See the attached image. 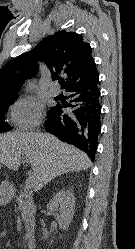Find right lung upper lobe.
<instances>
[{"label": "right lung upper lobe", "instance_id": "obj_1", "mask_svg": "<svg viewBox=\"0 0 135 249\" xmlns=\"http://www.w3.org/2000/svg\"><path fill=\"white\" fill-rule=\"evenodd\" d=\"M39 60L48 65L54 80L60 75L66 76L62 88L90 79L98 73L91 47L83 40V36L62 30L49 35L30 52L3 66L0 70V101L17 97L16 93L24 81L37 72Z\"/></svg>", "mask_w": 135, "mask_h": 249}]
</instances>
